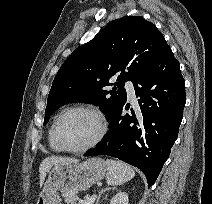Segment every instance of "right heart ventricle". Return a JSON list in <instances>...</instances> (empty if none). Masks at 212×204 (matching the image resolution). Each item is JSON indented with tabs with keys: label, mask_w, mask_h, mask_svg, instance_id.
Listing matches in <instances>:
<instances>
[{
	"label": "right heart ventricle",
	"mask_w": 212,
	"mask_h": 204,
	"mask_svg": "<svg viewBox=\"0 0 212 204\" xmlns=\"http://www.w3.org/2000/svg\"><path fill=\"white\" fill-rule=\"evenodd\" d=\"M52 127H53V125L50 127V129L48 131V144H49V147L55 152H61L62 150L59 148V146L56 144V142H55V140L53 138Z\"/></svg>",
	"instance_id": "right-heart-ventricle-1"
}]
</instances>
